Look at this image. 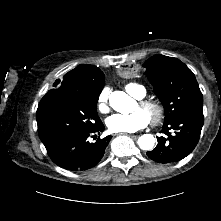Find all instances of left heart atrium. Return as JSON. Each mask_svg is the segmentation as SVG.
<instances>
[{
	"mask_svg": "<svg viewBox=\"0 0 221 221\" xmlns=\"http://www.w3.org/2000/svg\"><path fill=\"white\" fill-rule=\"evenodd\" d=\"M150 122L148 115L141 109L130 114H114L110 116L106 125L111 132H135L145 128Z\"/></svg>",
	"mask_w": 221,
	"mask_h": 221,
	"instance_id": "1",
	"label": "left heart atrium"
}]
</instances>
